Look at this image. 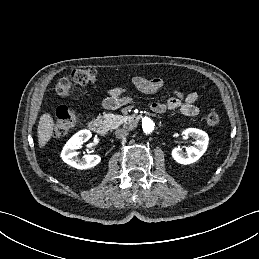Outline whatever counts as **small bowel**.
Listing matches in <instances>:
<instances>
[{"label": "small bowel", "mask_w": 259, "mask_h": 259, "mask_svg": "<svg viewBox=\"0 0 259 259\" xmlns=\"http://www.w3.org/2000/svg\"><path fill=\"white\" fill-rule=\"evenodd\" d=\"M132 83L135 88L144 94H154L160 91L164 86V80L159 77L148 79L144 76H134ZM126 89L116 87L110 90L109 95L103 100L102 106L107 110L116 109L122 105L131 102V98L127 96ZM198 94H185L181 91H175L174 96L167 99L166 102L155 101L150 105L154 113L162 114L166 110L177 109L184 116H195L199 109L196 105Z\"/></svg>", "instance_id": "obj_1"}]
</instances>
